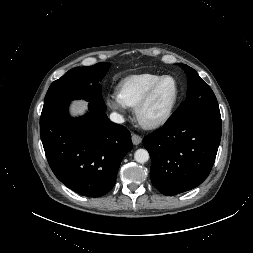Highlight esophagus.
<instances>
[{"label":"esophagus","mask_w":253,"mask_h":253,"mask_svg":"<svg viewBox=\"0 0 253 253\" xmlns=\"http://www.w3.org/2000/svg\"><path fill=\"white\" fill-rule=\"evenodd\" d=\"M132 142L134 145H138L142 142V138L137 134H133L132 135Z\"/></svg>","instance_id":"esophagus-1"}]
</instances>
